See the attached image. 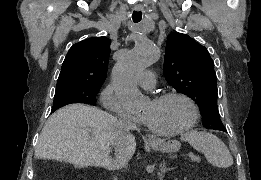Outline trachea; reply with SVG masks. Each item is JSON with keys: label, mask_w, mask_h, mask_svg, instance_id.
Masks as SVG:
<instances>
[{"label": "trachea", "mask_w": 261, "mask_h": 180, "mask_svg": "<svg viewBox=\"0 0 261 180\" xmlns=\"http://www.w3.org/2000/svg\"><path fill=\"white\" fill-rule=\"evenodd\" d=\"M141 18H142V13L141 12H137V11H134L133 14H132V19L135 23H138L141 21Z\"/></svg>", "instance_id": "obj_1"}]
</instances>
